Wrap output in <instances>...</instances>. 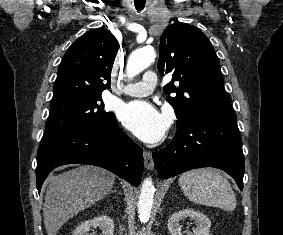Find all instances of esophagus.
<instances>
[{
    "label": "esophagus",
    "instance_id": "34e87169",
    "mask_svg": "<svg viewBox=\"0 0 283 235\" xmlns=\"http://www.w3.org/2000/svg\"><path fill=\"white\" fill-rule=\"evenodd\" d=\"M143 156L145 168L148 170H152L154 168L152 153L150 151L145 150Z\"/></svg>",
    "mask_w": 283,
    "mask_h": 235
}]
</instances>
